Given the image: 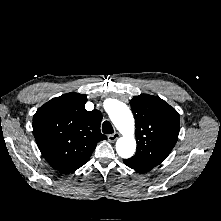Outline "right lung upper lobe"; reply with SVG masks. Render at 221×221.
<instances>
[{"mask_svg":"<svg viewBox=\"0 0 221 221\" xmlns=\"http://www.w3.org/2000/svg\"><path fill=\"white\" fill-rule=\"evenodd\" d=\"M86 95L71 92L40 107L33 118V133L47 162L62 173L83 166L100 140L102 114L87 111Z\"/></svg>","mask_w":221,"mask_h":221,"instance_id":"right-lung-upper-lobe-1","label":"right lung upper lobe"}]
</instances>
